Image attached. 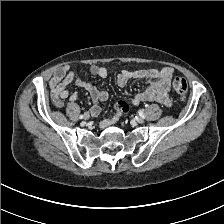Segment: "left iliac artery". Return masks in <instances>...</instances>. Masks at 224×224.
Masks as SVG:
<instances>
[{"label": "left iliac artery", "instance_id": "obj_1", "mask_svg": "<svg viewBox=\"0 0 224 224\" xmlns=\"http://www.w3.org/2000/svg\"><path fill=\"white\" fill-rule=\"evenodd\" d=\"M139 115L144 119L146 117L143 110H139Z\"/></svg>", "mask_w": 224, "mask_h": 224}]
</instances>
